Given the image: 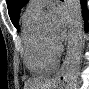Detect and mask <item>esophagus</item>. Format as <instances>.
Wrapping results in <instances>:
<instances>
[{"label":"esophagus","mask_w":89,"mask_h":89,"mask_svg":"<svg viewBox=\"0 0 89 89\" xmlns=\"http://www.w3.org/2000/svg\"><path fill=\"white\" fill-rule=\"evenodd\" d=\"M65 66H66V59L64 60L61 69H60L59 72L56 74L55 79H59V78H60L61 74L63 73V70H64Z\"/></svg>","instance_id":"esophagus-1"}]
</instances>
